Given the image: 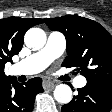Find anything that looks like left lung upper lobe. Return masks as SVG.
I'll return each mask as SVG.
<instances>
[{
    "mask_svg": "<svg viewBox=\"0 0 112 112\" xmlns=\"http://www.w3.org/2000/svg\"><path fill=\"white\" fill-rule=\"evenodd\" d=\"M44 22L65 35L68 56L62 66L76 67L87 82L112 85V36L99 23L78 15Z\"/></svg>",
    "mask_w": 112,
    "mask_h": 112,
    "instance_id": "obj_1",
    "label": "left lung upper lobe"
}]
</instances>
